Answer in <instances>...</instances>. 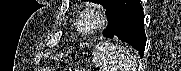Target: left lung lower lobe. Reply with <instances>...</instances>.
I'll use <instances>...</instances> for the list:
<instances>
[{"instance_id":"obj_1","label":"left lung lower lobe","mask_w":181,"mask_h":71,"mask_svg":"<svg viewBox=\"0 0 181 71\" xmlns=\"http://www.w3.org/2000/svg\"><path fill=\"white\" fill-rule=\"evenodd\" d=\"M106 15L108 26L103 35L107 38H119L137 49L143 57L146 35L143 8L139 0H116Z\"/></svg>"}]
</instances>
